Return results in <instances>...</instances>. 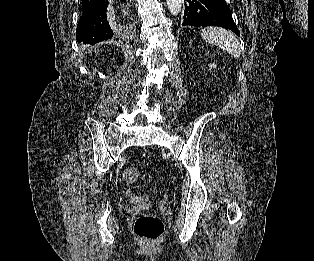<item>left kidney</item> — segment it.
<instances>
[{
    "label": "left kidney",
    "mask_w": 314,
    "mask_h": 261,
    "mask_svg": "<svg viewBox=\"0 0 314 261\" xmlns=\"http://www.w3.org/2000/svg\"><path fill=\"white\" fill-rule=\"evenodd\" d=\"M212 67H213V68H216V64L211 65V68H212Z\"/></svg>",
    "instance_id": "left-kidney-1"
}]
</instances>
